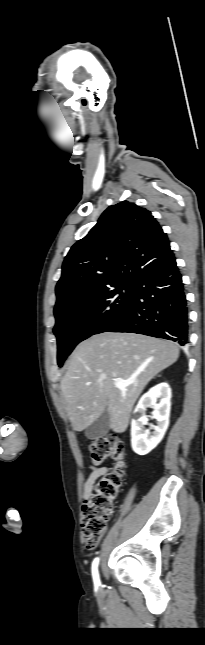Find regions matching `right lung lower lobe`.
<instances>
[{
  "label": "right lung lower lobe",
  "mask_w": 205,
  "mask_h": 645,
  "mask_svg": "<svg viewBox=\"0 0 205 645\" xmlns=\"http://www.w3.org/2000/svg\"><path fill=\"white\" fill-rule=\"evenodd\" d=\"M103 332H132L188 344L187 301L175 258L137 280L132 303Z\"/></svg>",
  "instance_id": "98d812e1"
}]
</instances>
